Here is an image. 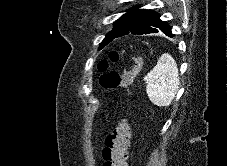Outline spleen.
<instances>
[{"instance_id": "obj_1", "label": "spleen", "mask_w": 227, "mask_h": 166, "mask_svg": "<svg viewBox=\"0 0 227 166\" xmlns=\"http://www.w3.org/2000/svg\"><path fill=\"white\" fill-rule=\"evenodd\" d=\"M146 92L150 101L159 107L169 106L178 89L179 73L176 61L164 53L153 69L144 77Z\"/></svg>"}]
</instances>
